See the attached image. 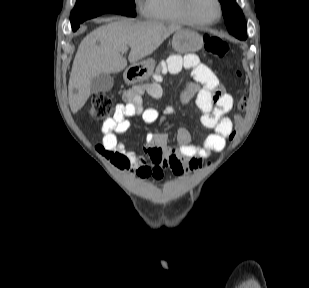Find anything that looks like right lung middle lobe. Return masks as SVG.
<instances>
[{"mask_svg": "<svg viewBox=\"0 0 309 288\" xmlns=\"http://www.w3.org/2000/svg\"><path fill=\"white\" fill-rule=\"evenodd\" d=\"M108 12L135 17V2L134 0H77L70 16L73 31H76L83 21Z\"/></svg>", "mask_w": 309, "mask_h": 288, "instance_id": "1", "label": "right lung middle lobe"}]
</instances>
